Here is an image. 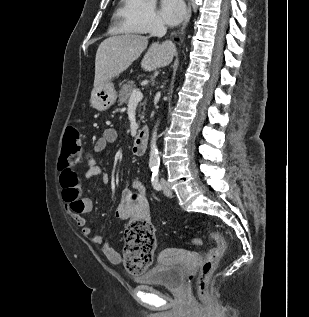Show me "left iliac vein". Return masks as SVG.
Masks as SVG:
<instances>
[{"mask_svg":"<svg viewBox=\"0 0 309 317\" xmlns=\"http://www.w3.org/2000/svg\"><path fill=\"white\" fill-rule=\"evenodd\" d=\"M161 185H162L163 193L168 197L172 196V190L168 182L164 179H161Z\"/></svg>","mask_w":309,"mask_h":317,"instance_id":"obj_1","label":"left iliac vein"}]
</instances>
